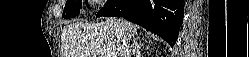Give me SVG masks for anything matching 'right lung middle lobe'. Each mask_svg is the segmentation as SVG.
<instances>
[{
    "instance_id": "dd1d6c3e",
    "label": "right lung middle lobe",
    "mask_w": 249,
    "mask_h": 57,
    "mask_svg": "<svg viewBox=\"0 0 249 57\" xmlns=\"http://www.w3.org/2000/svg\"><path fill=\"white\" fill-rule=\"evenodd\" d=\"M109 1L110 0H108L107 3ZM80 2H81V0H69V1H67L62 17L66 19V18H71V17L78 15L79 10L81 8Z\"/></svg>"
}]
</instances>
